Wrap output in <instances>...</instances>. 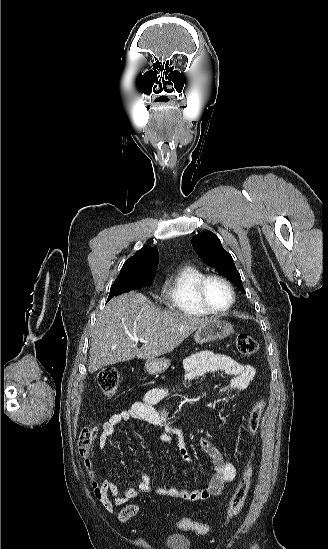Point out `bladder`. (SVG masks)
<instances>
[{
    "label": "bladder",
    "instance_id": "1",
    "mask_svg": "<svg viewBox=\"0 0 328 549\" xmlns=\"http://www.w3.org/2000/svg\"><path fill=\"white\" fill-rule=\"evenodd\" d=\"M167 544L174 549H187L190 547V540L183 535H168Z\"/></svg>",
    "mask_w": 328,
    "mask_h": 549
}]
</instances>
